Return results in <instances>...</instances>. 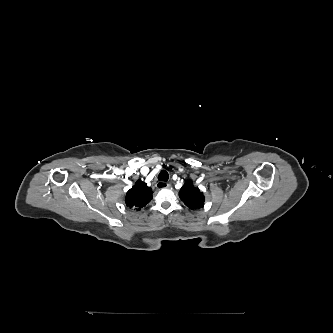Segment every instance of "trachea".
<instances>
[{"label":"trachea","instance_id":"1","mask_svg":"<svg viewBox=\"0 0 333 333\" xmlns=\"http://www.w3.org/2000/svg\"><path fill=\"white\" fill-rule=\"evenodd\" d=\"M169 175L168 172L165 170H162L158 175V180L160 181H168Z\"/></svg>","mask_w":333,"mask_h":333}]
</instances>
